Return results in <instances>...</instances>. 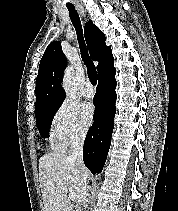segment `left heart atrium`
Segmentation results:
<instances>
[{
    "instance_id": "left-heart-atrium-1",
    "label": "left heart atrium",
    "mask_w": 178,
    "mask_h": 211,
    "mask_svg": "<svg viewBox=\"0 0 178 211\" xmlns=\"http://www.w3.org/2000/svg\"><path fill=\"white\" fill-rule=\"evenodd\" d=\"M95 115L94 105L91 102H84L81 105V117L85 124L92 123Z\"/></svg>"
}]
</instances>
